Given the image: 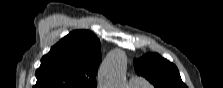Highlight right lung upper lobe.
<instances>
[{
	"label": "right lung upper lobe",
	"instance_id": "right-lung-upper-lobe-1",
	"mask_svg": "<svg viewBox=\"0 0 223 88\" xmlns=\"http://www.w3.org/2000/svg\"><path fill=\"white\" fill-rule=\"evenodd\" d=\"M101 59L100 40L92 32H70L41 59L34 88H96Z\"/></svg>",
	"mask_w": 223,
	"mask_h": 88
}]
</instances>
